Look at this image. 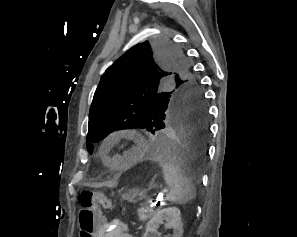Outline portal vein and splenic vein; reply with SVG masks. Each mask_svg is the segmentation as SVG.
Returning <instances> with one entry per match:
<instances>
[{
    "instance_id": "obj_1",
    "label": "portal vein and splenic vein",
    "mask_w": 297,
    "mask_h": 237,
    "mask_svg": "<svg viewBox=\"0 0 297 237\" xmlns=\"http://www.w3.org/2000/svg\"><path fill=\"white\" fill-rule=\"evenodd\" d=\"M150 206H151V207H153V206H154L152 202L150 203Z\"/></svg>"
}]
</instances>
